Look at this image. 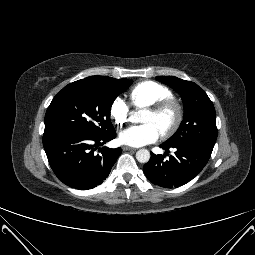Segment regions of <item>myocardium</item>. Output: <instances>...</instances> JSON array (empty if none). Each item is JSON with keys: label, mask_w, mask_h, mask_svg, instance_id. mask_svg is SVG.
Returning a JSON list of instances; mask_svg holds the SVG:
<instances>
[{"label": "myocardium", "mask_w": 255, "mask_h": 255, "mask_svg": "<svg viewBox=\"0 0 255 255\" xmlns=\"http://www.w3.org/2000/svg\"><path fill=\"white\" fill-rule=\"evenodd\" d=\"M147 110L155 114H162L168 110H172L174 112L173 121L161 132L163 137H168L174 134L181 125L184 117V108L181 102L174 97L155 102L149 105Z\"/></svg>", "instance_id": "1"}]
</instances>
